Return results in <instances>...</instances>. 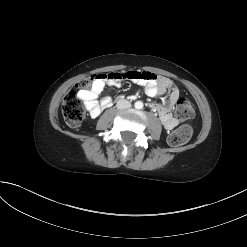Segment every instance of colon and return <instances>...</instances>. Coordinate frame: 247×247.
Returning a JSON list of instances; mask_svg holds the SVG:
<instances>
[{
	"label": "colon",
	"instance_id": "colon-1",
	"mask_svg": "<svg viewBox=\"0 0 247 247\" xmlns=\"http://www.w3.org/2000/svg\"><path fill=\"white\" fill-rule=\"evenodd\" d=\"M103 77L106 76H102L101 74L91 75L82 80L78 84V87L82 90H88L89 88H92L97 80ZM62 113L65 122L69 127L78 128L82 124L86 116V110L82 100L77 97L75 92H69L64 98L62 104ZM175 115L180 120H188L194 117L195 110L188 99L180 98L176 104ZM191 135V128L188 125H182L168 136V143L171 146L183 145L188 142V140L191 138Z\"/></svg>",
	"mask_w": 247,
	"mask_h": 247
}]
</instances>
